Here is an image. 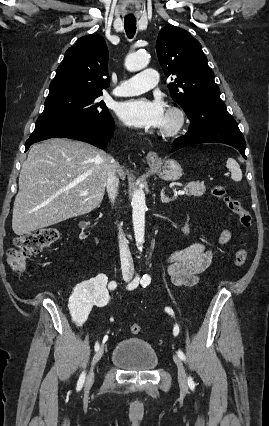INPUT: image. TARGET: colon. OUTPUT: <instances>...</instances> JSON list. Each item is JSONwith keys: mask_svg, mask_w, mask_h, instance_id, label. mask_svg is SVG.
I'll return each mask as SVG.
<instances>
[{"mask_svg": "<svg viewBox=\"0 0 269 426\" xmlns=\"http://www.w3.org/2000/svg\"><path fill=\"white\" fill-rule=\"evenodd\" d=\"M211 194L214 198L221 201L231 213L238 217L242 227L249 228L252 225L251 213L242 206L238 199L229 197L223 186H213ZM58 238V230L52 227L41 228L17 236L14 239V246L10 248L6 254L9 266L16 273L24 274L26 271L27 259L53 245ZM247 256L248 252L246 248H239L234 257L235 265L238 267L243 266L247 260ZM130 331L133 334H140L142 332V326L138 323H133L130 326Z\"/></svg>", "mask_w": 269, "mask_h": 426, "instance_id": "colon-1", "label": "colon"}]
</instances>
